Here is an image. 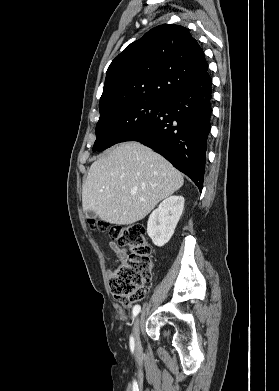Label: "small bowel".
I'll return each instance as SVG.
<instances>
[{
    "label": "small bowel",
    "instance_id": "obj_1",
    "mask_svg": "<svg viewBox=\"0 0 279 391\" xmlns=\"http://www.w3.org/2000/svg\"><path fill=\"white\" fill-rule=\"evenodd\" d=\"M109 245L116 252L118 260L126 254L125 250L120 248L115 242H110Z\"/></svg>",
    "mask_w": 279,
    "mask_h": 391
}]
</instances>
